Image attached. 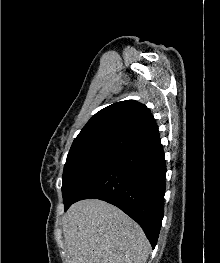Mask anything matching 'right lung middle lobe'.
<instances>
[{"label":"right lung middle lobe","instance_id":"right-lung-middle-lobe-1","mask_svg":"<svg viewBox=\"0 0 220 263\" xmlns=\"http://www.w3.org/2000/svg\"><path fill=\"white\" fill-rule=\"evenodd\" d=\"M119 153L120 150L108 148L70 151L62 178L64 205L71 203L79 191Z\"/></svg>","mask_w":220,"mask_h":263}]
</instances>
